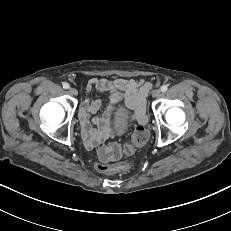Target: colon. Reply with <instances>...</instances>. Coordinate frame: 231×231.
Listing matches in <instances>:
<instances>
[{"label": "colon", "mask_w": 231, "mask_h": 231, "mask_svg": "<svg viewBox=\"0 0 231 231\" xmlns=\"http://www.w3.org/2000/svg\"><path fill=\"white\" fill-rule=\"evenodd\" d=\"M149 138L147 129L139 125L137 126L132 135L130 142L125 146H121L115 142L103 145L98 150V157L100 162L96 163L98 171L105 174L126 173L130 171V165L127 163L112 164L111 162L118 160L123 153L131 154L138 147L146 144Z\"/></svg>", "instance_id": "1"}]
</instances>
